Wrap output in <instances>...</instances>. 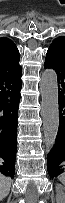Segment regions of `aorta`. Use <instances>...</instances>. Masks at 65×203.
<instances>
[{
	"label": "aorta",
	"mask_w": 65,
	"mask_h": 203,
	"mask_svg": "<svg viewBox=\"0 0 65 203\" xmlns=\"http://www.w3.org/2000/svg\"><path fill=\"white\" fill-rule=\"evenodd\" d=\"M42 118L44 143L48 149L55 145L59 128L58 81L56 71L45 69L41 76Z\"/></svg>",
	"instance_id": "762f6f07"
}]
</instances>
